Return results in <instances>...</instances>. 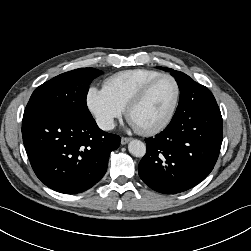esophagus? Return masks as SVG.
Returning <instances> with one entry per match:
<instances>
[{"mask_svg": "<svg viewBox=\"0 0 251 251\" xmlns=\"http://www.w3.org/2000/svg\"><path fill=\"white\" fill-rule=\"evenodd\" d=\"M129 141H131V138H129V137H122L121 138V144L122 145L127 144Z\"/></svg>", "mask_w": 251, "mask_h": 251, "instance_id": "34e87169", "label": "esophagus"}]
</instances>
